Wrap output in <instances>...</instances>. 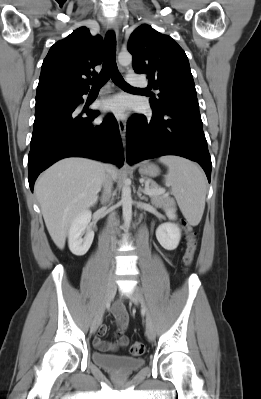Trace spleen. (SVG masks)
Masks as SVG:
<instances>
[{"instance_id":"1","label":"spleen","mask_w":261,"mask_h":399,"mask_svg":"<svg viewBox=\"0 0 261 399\" xmlns=\"http://www.w3.org/2000/svg\"><path fill=\"white\" fill-rule=\"evenodd\" d=\"M159 162L168 167L166 183L171 187L177 203L189 224L201 221L207 192V181L202 169L192 161L178 156H163Z\"/></svg>"}]
</instances>
